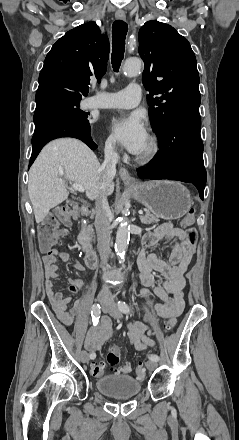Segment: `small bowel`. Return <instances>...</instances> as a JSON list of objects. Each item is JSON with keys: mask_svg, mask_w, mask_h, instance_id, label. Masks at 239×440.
I'll list each match as a JSON object with an SVG mask.
<instances>
[{"mask_svg": "<svg viewBox=\"0 0 239 440\" xmlns=\"http://www.w3.org/2000/svg\"><path fill=\"white\" fill-rule=\"evenodd\" d=\"M173 242V246L168 252V261L159 258L155 253H146V248L154 249L157 246ZM142 250L139 254V280L143 285L142 295L148 304L162 318L176 317L184 309V288L186 285L185 274L188 265L194 254V245H191L186 237V232L166 223L158 226L154 231L146 234L142 240ZM71 255L62 250L49 249L44 251L43 263L45 269V289L52 303L55 313L61 322L67 326L73 324L74 313L79 306L75 305L70 311L67 305L69 297H64L63 293L56 291L54 280L60 276V269L57 261H69ZM74 268L77 271H84V265L74 259ZM161 273L164 279H156L153 273ZM148 288H152L154 294L161 300L155 303L151 300ZM69 292H77L83 289V284L79 279H69L66 288ZM113 335L112 321L108 316L99 318L96 325L91 326L85 337V348L95 354L103 344ZM150 329L146 322H134L128 327V337L130 344L137 350H143L154 345L150 338Z\"/></svg>", "mask_w": 239, "mask_h": 440, "instance_id": "1", "label": "small bowel"}]
</instances>
